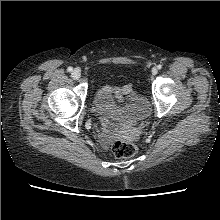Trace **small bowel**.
Here are the masks:
<instances>
[{
  "instance_id": "c3829d8e",
  "label": "small bowel",
  "mask_w": 220,
  "mask_h": 220,
  "mask_svg": "<svg viewBox=\"0 0 220 220\" xmlns=\"http://www.w3.org/2000/svg\"><path fill=\"white\" fill-rule=\"evenodd\" d=\"M110 94H113L116 102L119 106L123 105L124 98L128 96V100L130 103H133L136 100V95L133 93V86L131 84H127L122 88L118 87H107ZM100 114L101 121L104 125V128H109V116L110 110L108 106H101L96 108Z\"/></svg>"
}]
</instances>
